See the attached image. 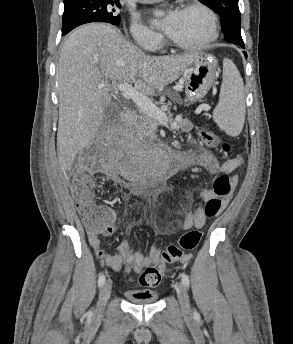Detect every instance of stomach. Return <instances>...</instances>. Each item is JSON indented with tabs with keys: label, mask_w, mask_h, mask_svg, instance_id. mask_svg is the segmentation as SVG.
<instances>
[{
	"label": "stomach",
	"mask_w": 293,
	"mask_h": 344,
	"mask_svg": "<svg viewBox=\"0 0 293 344\" xmlns=\"http://www.w3.org/2000/svg\"><path fill=\"white\" fill-rule=\"evenodd\" d=\"M216 76L217 60L208 54L199 53L180 76L188 102L201 100L212 87Z\"/></svg>",
	"instance_id": "stomach-1"
}]
</instances>
